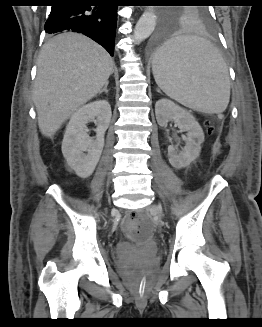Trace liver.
Masks as SVG:
<instances>
[{
    "instance_id": "liver-1",
    "label": "liver",
    "mask_w": 262,
    "mask_h": 327,
    "mask_svg": "<svg viewBox=\"0 0 262 327\" xmlns=\"http://www.w3.org/2000/svg\"><path fill=\"white\" fill-rule=\"evenodd\" d=\"M114 62L88 37L62 33L46 42L37 62L33 101L38 126L52 137L61 125L108 83Z\"/></svg>"
}]
</instances>
